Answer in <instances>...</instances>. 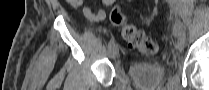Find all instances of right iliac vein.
Returning a JSON list of instances; mask_svg holds the SVG:
<instances>
[{"label":"right iliac vein","mask_w":209,"mask_h":90,"mask_svg":"<svg viewBox=\"0 0 209 90\" xmlns=\"http://www.w3.org/2000/svg\"><path fill=\"white\" fill-rule=\"evenodd\" d=\"M118 56V46L114 45L110 50H109V57L111 59H115Z\"/></svg>","instance_id":"63e3f726"}]
</instances>
